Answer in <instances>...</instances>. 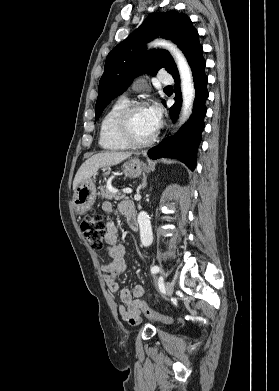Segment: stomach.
Returning <instances> with one entry per match:
<instances>
[{"instance_id": "stomach-1", "label": "stomach", "mask_w": 279, "mask_h": 391, "mask_svg": "<svg viewBox=\"0 0 279 391\" xmlns=\"http://www.w3.org/2000/svg\"><path fill=\"white\" fill-rule=\"evenodd\" d=\"M104 174H108L109 168L103 167ZM149 168L138 158L128 160L123 164V173L126 177L137 178L148 173ZM96 187L92 179L81 183L73 195V206L77 214H86L93 206L96 199Z\"/></svg>"}]
</instances>
